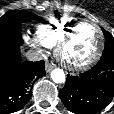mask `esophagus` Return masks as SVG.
<instances>
[{
    "label": "esophagus",
    "instance_id": "34e87169",
    "mask_svg": "<svg viewBox=\"0 0 114 114\" xmlns=\"http://www.w3.org/2000/svg\"><path fill=\"white\" fill-rule=\"evenodd\" d=\"M54 67L55 66L49 62H46V64H45V70L47 73L50 72Z\"/></svg>",
    "mask_w": 114,
    "mask_h": 114
}]
</instances>
